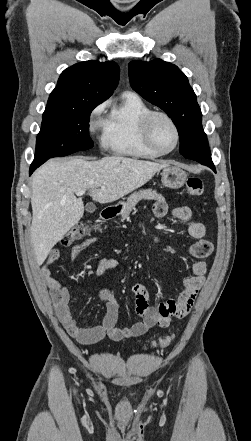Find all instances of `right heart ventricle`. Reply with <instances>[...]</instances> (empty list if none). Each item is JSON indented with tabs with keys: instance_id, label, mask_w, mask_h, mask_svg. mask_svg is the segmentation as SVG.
<instances>
[{
	"instance_id": "e07e8e85",
	"label": "right heart ventricle",
	"mask_w": 251,
	"mask_h": 441,
	"mask_svg": "<svg viewBox=\"0 0 251 441\" xmlns=\"http://www.w3.org/2000/svg\"><path fill=\"white\" fill-rule=\"evenodd\" d=\"M152 109L136 93L125 92L104 122L103 144L114 154L155 159L159 155L145 144L141 124Z\"/></svg>"
}]
</instances>
